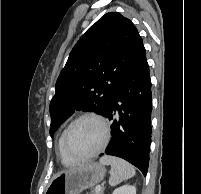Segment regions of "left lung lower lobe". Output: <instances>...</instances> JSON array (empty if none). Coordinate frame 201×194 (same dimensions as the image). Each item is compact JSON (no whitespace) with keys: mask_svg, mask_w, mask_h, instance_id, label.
Instances as JSON below:
<instances>
[{"mask_svg":"<svg viewBox=\"0 0 201 194\" xmlns=\"http://www.w3.org/2000/svg\"><path fill=\"white\" fill-rule=\"evenodd\" d=\"M152 91L144 46L115 91L105 113L112 140L101 155L123 158L147 174L151 144Z\"/></svg>","mask_w":201,"mask_h":194,"instance_id":"obj_1","label":"left lung lower lobe"}]
</instances>
